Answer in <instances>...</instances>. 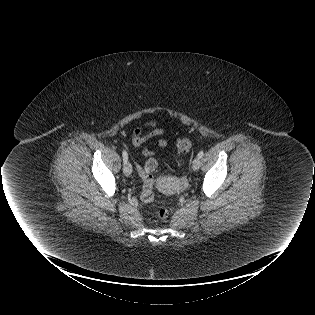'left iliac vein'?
<instances>
[{
    "label": "left iliac vein",
    "instance_id": "4c4485c4",
    "mask_svg": "<svg viewBox=\"0 0 315 315\" xmlns=\"http://www.w3.org/2000/svg\"><path fill=\"white\" fill-rule=\"evenodd\" d=\"M201 162L200 158L197 156L192 162V168L194 171H197L200 168Z\"/></svg>",
    "mask_w": 315,
    "mask_h": 315
}]
</instances>
